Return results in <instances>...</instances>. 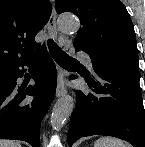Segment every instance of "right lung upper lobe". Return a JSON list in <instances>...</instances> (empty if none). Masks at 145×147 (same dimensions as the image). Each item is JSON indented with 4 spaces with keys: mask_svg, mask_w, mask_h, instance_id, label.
<instances>
[{
    "mask_svg": "<svg viewBox=\"0 0 145 147\" xmlns=\"http://www.w3.org/2000/svg\"><path fill=\"white\" fill-rule=\"evenodd\" d=\"M51 11L48 0H0V70L37 54L34 38Z\"/></svg>",
    "mask_w": 145,
    "mask_h": 147,
    "instance_id": "1",
    "label": "right lung upper lobe"
}]
</instances>
